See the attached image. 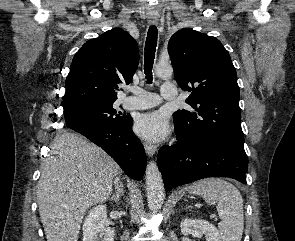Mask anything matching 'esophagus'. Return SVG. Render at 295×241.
Here are the masks:
<instances>
[{"mask_svg":"<svg viewBox=\"0 0 295 241\" xmlns=\"http://www.w3.org/2000/svg\"><path fill=\"white\" fill-rule=\"evenodd\" d=\"M148 22L151 25H155L158 23V20L157 19H149ZM143 146H144V149H145L147 155L150 157H152L157 151V146L150 143V142L143 141Z\"/></svg>","mask_w":295,"mask_h":241,"instance_id":"1","label":"esophagus"}]
</instances>
